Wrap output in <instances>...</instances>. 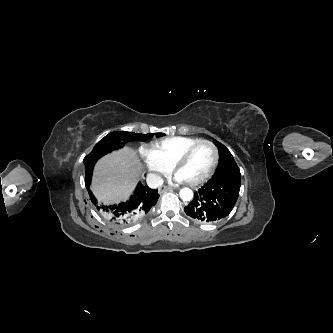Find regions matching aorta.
Returning a JSON list of instances; mask_svg holds the SVG:
<instances>
[{"mask_svg":"<svg viewBox=\"0 0 333 333\" xmlns=\"http://www.w3.org/2000/svg\"><path fill=\"white\" fill-rule=\"evenodd\" d=\"M180 197L183 201H190L193 198V192L189 188H183L180 190Z\"/></svg>","mask_w":333,"mask_h":333,"instance_id":"obj_1","label":"aorta"}]
</instances>
